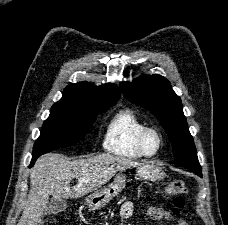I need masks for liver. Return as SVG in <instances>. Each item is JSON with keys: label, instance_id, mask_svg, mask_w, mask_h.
<instances>
[{"label": "liver", "instance_id": "obj_1", "mask_svg": "<svg viewBox=\"0 0 228 225\" xmlns=\"http://www.w3.org/2000/svg\"><path fill=\"white\" fill-rule=\"evenodd\" d=\"M138 165L136 161L114 157L109 153L79 161H70L57 153H47L37 159L33 169H30L29 197L18 225H42L49 195L55 199H79L101 189L118 171ZM72 179L78 181L74 187H70Z\"/></svg>", "mask_w": 228, "mask_h": 225}]
</instances>
